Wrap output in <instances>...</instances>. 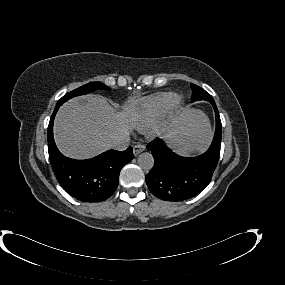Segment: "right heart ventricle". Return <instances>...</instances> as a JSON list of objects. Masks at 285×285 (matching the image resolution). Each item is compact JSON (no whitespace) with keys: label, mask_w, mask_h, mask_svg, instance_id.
Wrapping results in <instances>:
<instances>
[{"label":"right heart ventricle","mask_w":285,"mask_h":285,"mask_svg":"<svg viewBox=\"0 0 285 285\" xmlns=\"http://www.w3.org/2000/svg\"><path fill=\"white\" fill-rule=\"evenodd\" d=\"M172 94L168 92L141 99L128 107L139 126L144 127L160 118L167 110Z\"/></svg>","instance_id":"e07e8e85"}]
</instances>
